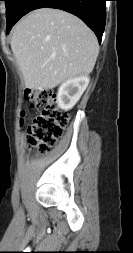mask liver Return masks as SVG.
Returning a JSON list of instances; mask_svg holds the SVG:
<instances>
[{"instance_id":"obj_1","label":"liver","mask_w":133,"mask_h":253,"mask_svg":"<svg viewBox=\"0 0 133 253\" xmlns=\"http://www.w3.org/2000/svg\"><path fill=\"white\" fill-rule=\"evenodd\" d=\"M11 49L25 87L48 90L94 68L99 45L93 31L78 17L41 8L13 28Z\"/></svg>"}]
</instances>
